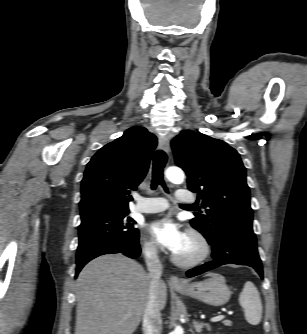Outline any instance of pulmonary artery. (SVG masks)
<instances>
[{"label": "pulmonary artery", "mask_w": 307, "mask_h": 334, "mask_svg": "<svg viewBox=\"0 0 307 334\" xmlns=\"http://www.w3.org/2000/svg\"><path fill=\"white\" fill-rule=\"evenodd\" d=\"M175 199L180 202H193L195 199L187 195V190L179 189L175 193ZM135 209L141 213H156L168 208V201L164 197H140L136 198Z\"/></svg>", "instance_id": "e3ab8cb5"}]
</instances>
